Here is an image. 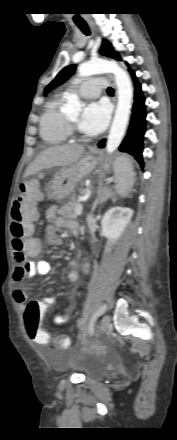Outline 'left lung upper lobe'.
Masks as SVG:
<instances>
[{
	"instance_id": "obj_1",
	"label": "left lung upper lobe",
	"mask_w": 177,
	"mask_h": 440,
	"mask_svg": "<svg viewBox=\"0 0 177 440\" xmlns=\"http://www.w3.org/2000/svg\"><path fill=\"white\" fill-rule=\"evenodd\" d=\"M101 54L106 55L107 57L114 58L116 60H121L119 54L114 51L111 43L106 39H103L102 47L100 50ZM76 66L69 65L62 69L60 73L56 76V78L45 88L44 94L46 95L51 89L57 87L66 81L71 75L74 74Z\"/></svg>"
}]
</instances>
